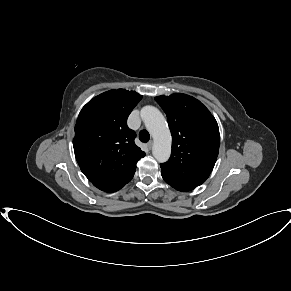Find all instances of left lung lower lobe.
I'll list each match as a JSON object with an SVG mask.
<instances>
[{"label":"left lung lower lobe","instance_id":"left-lung-lower-lobe-1","mask_svg":"<svg viewBox=\"0 0 291 291\" xmlns=\"http://www.w3.org/2000/svg\"><path fill=\"white\" fill-rule=\"evenodd\" d=\"M162 177L163 179L166 181V183H168L170 186H172L173 188H175L178 191L181 192H187V191H191L195 188V186H192L190 184H187L183 181H180L172 176H170L169 174H166L164 172L161 171Z\"/></svg>","mask_w":291,"mask_h":291}]
</instances>
